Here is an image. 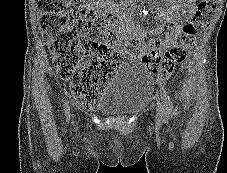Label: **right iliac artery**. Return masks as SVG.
<instances>
[{
    "label": "right iliac artery",
    "instance_id": "right-iliac-artery-1",
    "mask_svg": "<svg viewBox=\"0 0 227 173\" xmlns=\"http://www.w3.org/2000/svg\"><path fill=\"white\" fill-rule=\"evenodd\" d=\"M64 112H65V116L67 118V120H69L70 118V106H69V102L66 100L65 104H64Z\"/></svg>",
    "mask_w": 227,
    "mask_h": 173
}]
</instances>
